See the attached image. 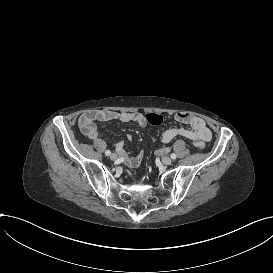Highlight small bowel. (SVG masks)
Returning a JSON list of instances; mask_svg holds the SVG:
<instances>
[{
  "label": "small bowel",
  "instance_id": "c3829d8e",
  "mask_svg": "<svg viewBox=\"0 0 273 273\" xmlns=\"http://www.w3.org/2000/svg\"><path fill=\"white\" fill-rule=\"evenodd\" d=\"M175 120L188 125V127H171L166 129L160 138L162 143H170L177 137H184L192 141L195 147L202 149L205 143L211 140L212 132L202 118L190 113L181 112L175 115ZM108 121H120L122 123L134 122L140 127L147 125L145 115L140 112L98 110L83 113L79 118V128L85 137L102 145V134L97 129L96 123ZM128 139L130 140L131 136H128ZM114 146L125 165L130 169H135V155H130L124 150V142L118 141Z\"/></svg>",
  "mask_w": 273,
  "mask_h": 273
}]
</instances>
